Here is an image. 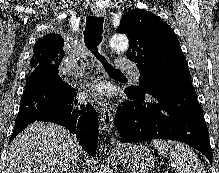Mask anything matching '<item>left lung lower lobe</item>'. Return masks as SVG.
I'll return each instance as SVG.
<instances>
[{
  "label": "left lung lower lobe",
  "mask_w": 219,
  "mask_h": 173,
  "mask_svg": "<svg viewBox=\"0 0 219 173\" xmlns=\"http://www.w3.org/2000/svg\"><path fill=\"white\" fill-rule=\"evenodd\" d=\"M130 100L117 108L114 123L124 143L171 139L202 152L212 164V149L202 108L194 87H179L147 97L129 88Z\"/></svg>",
  "instance_id": "obj_1"
}]
</instances>
